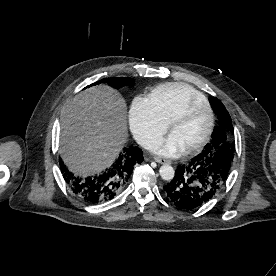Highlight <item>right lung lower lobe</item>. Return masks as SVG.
I'll use <instances>...</instances> for the list:
<instances>
[{
  "instance_id": "right-lung-lower-lobe-1",
  "label": "right lung lower lobe",
  "mask_w": 276,
  "mask_h": 276,
  "mask_svg": "<svg viewBox=\"0 0 276 276\" xmlns=\"http://www.w3.org/2000/svg\"><path fill=\"white\" fill-rule=\"evenodd\" d=\"M143 152L138 147L124 148L111 167L102 174L79 177L70 173L60 160L65 181L72 191L82 200L98 204L111 200L128 183L134 166L143 161Z\"/></svg>"
}]
</instances>
